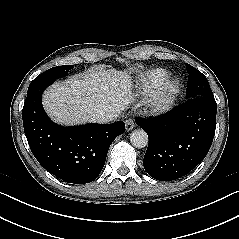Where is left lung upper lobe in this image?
Returning a JSON list of instances; mask_svg holds the SVG:
<instances>
[{"mask_svg": "<svg viewBox=\"0 0 239 239\" xmlns=\"http://www.w3.org/2000/svg\"><path fill=\"white\" fill-rule=\"evenodd\" d=\"M186 69L189 74L186 92L188 99L196 97H214L206 77L187 63Z\"/></svg>", "mask_w": 239, "mask_h": 239, "instance_id": "1", "label": "left lung upper lobe"}]
</instances>
